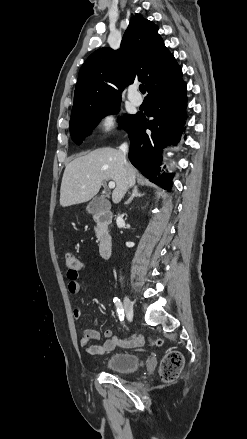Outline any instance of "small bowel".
<instances>
[{"instance_id": "1", "label": "small bowel", "mask_w": 247, "mask_h": 439, "mask_svg": "<svg viewBox=\"0 0 247 439\" xmlns=\"http://www.w3.org/2000/svg\"><path fill=\"white\" fill-rule=\"evenodd\" d=\"M68 290L71 294H78L81 289L79 283V271L68 270ZM74 318L78 319L81 316L80 308L73 309ZM97 323V321H96ZM105 341L101 345L91 344L92 341L100 339V333L93 329L83 330L80 336V344L88 354L91 355H104L113 351L115 348H133L143 344L144 340L141 336L130 335L126 337H118L113 334L111 330L104 331Z\"/></svg>"}]
</instances>
